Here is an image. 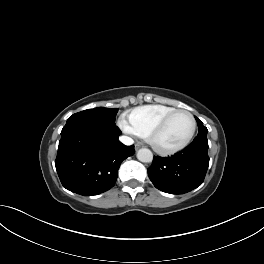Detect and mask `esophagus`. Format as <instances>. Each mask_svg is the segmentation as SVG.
<instances>
[{
    "label": "esophagus",
    "mask_w": 264,
    "mask_h": 264,
    "mask_svg": "<svg viewBox=\"0 0 264 264\" xmlns=\"http://www.w3.org/2000/svg\"><path fill=\"white\" fill-rule=\"evenodd\" d=\"M140 147H141L140 144H136V145H135V149H136V150L139 149Z\"/></svg>",
    "instance_id": "esophagus-1"
}]
</instances>
